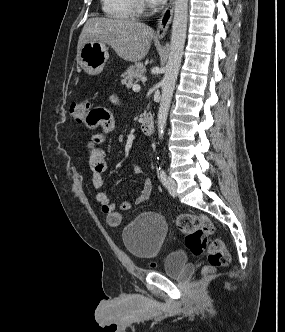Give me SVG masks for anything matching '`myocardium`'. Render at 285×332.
<instances>
[{"label":"myocardium","instance_id":"1","mask_svg":"<svg viewBox=\"0 0 285 332\" xmlns=\"http://www.w3.org/2000/svg\"><path fill=\"white\" fill-rule=\"evenodd\" d=\"M136 13L139 15H147L150 11L147 0H134Z\"/></svg>","mask_w":285,"mask_h":332}]
</instances>
